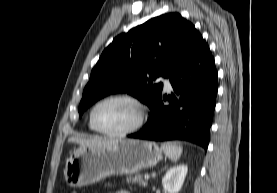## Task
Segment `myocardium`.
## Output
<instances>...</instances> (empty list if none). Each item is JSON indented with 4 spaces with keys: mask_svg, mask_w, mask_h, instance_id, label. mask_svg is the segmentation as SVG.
I'll list each match as a JSON object with an SVG mask.
<instances>
[{
    "mask_svg": "<svg viewBox=\"0 0 277 193\" xmlns=\"http://www.w3.org/2000/svg\"><path fill=\"white\" fill-rule=\"evenodd\" d=\"M112 100H125V101L133 103L137 107L139 115H138V119H137L136 123L133 126H131L130 128H127L125 130H122V131L110 132V131H105V130L101 129L96 124L95 117H94L96 109L101 104H103L107 101H112ZM147 116H148V108L141 99H139L136 96L130 95V94H114V95L104 97L94 104V106L92 107V109L90 111L89 121H90V124L92 125V127L94 128V130L97 131L98 133H101L103 135L110 136V137H125V136L131 135V134L137 132L138 130H140L143 127V125L145 124Z\"/></svg>",
    "mask_w": 277,
    "mask_h": 193,
    "instance_id": "f54148a6",
    "label": "myocardium"
}]
</instances>
